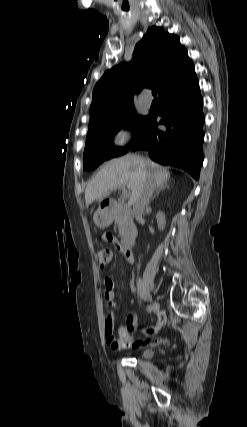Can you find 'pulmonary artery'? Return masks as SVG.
I'll use <instances>...</instances> for the list:
<instances>
[{
  "label": "pulmonary artery",
  "instance_id": "obj_1",
  "mask_svg": "<svg viewBox=\"0 0 247 427\" xmlns=\"http://www.w3.org/2000/svg\"><path fill=\"white\" fill-rule=\"evenodd\" d=\"M141 101L146 106H150L151 103H152V99L150 97H148V96L142 97Z\"/></svg>",
  "mask_w": 247,
  "mask_h": 427
}]
</instances>
